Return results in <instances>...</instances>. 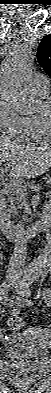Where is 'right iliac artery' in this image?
Returning a JSON list of instances; mask_svg holds the SVG:
<instances>
[{
  "mask_svg": "<svg viewBox=\"0 0 51 393\" xmlns=\"http://www.w3.org/2000/svg\"><path fill=\"white\" fill-rule=\"evenodd\" d=\"M8 299V284L6 282L2 283L0 288V300L3 304H6Z\"/></svg>",
  "mask_w": 51,
  "mask_h": 393,
  "instance_id": "1",
  "label": "right iliac artery"
}]
</instances>
